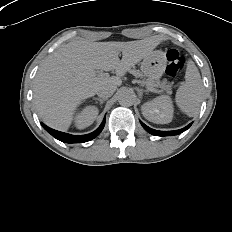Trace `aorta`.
<instances>
[{
  "mask_svg": "<svg viewBox=\"0 0 232 232\" xmlns=\"http://www.w3.org/2000/svg\"><path fill=\"white\" fill-rule=\"evenodd\" d=\"M134 94L129 89H122L118 95V101L123 105H131L133 103Z\"/></svg>",
  "mask_w": 232,
  "mask_h": 232,
  "instance_id": "1",
  "label": "aorta"
}]
</instances>
